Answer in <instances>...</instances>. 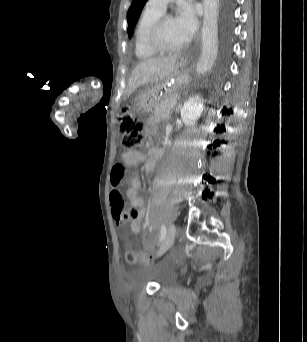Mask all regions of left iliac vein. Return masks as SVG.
Masks as SVG:
<instances>
[{"mask_svg": "<svg viewBox=\"0 0 307 342\" xmlns=\"http://www.w3.org/2000/svg\"><path fill=\"white\" fill-rule=\"evenodd\" d=\"M176 236V226L172 224L167 232L166 237L164 238L163 242L160 245V248L157 252V256H162L173 244L174 239Z\"/></svg>", "mask_w": 307, "mask_h": 342, "instance_id": "1", "label": "left iliac vein"}]
</instances>
